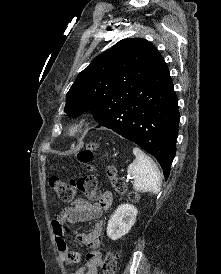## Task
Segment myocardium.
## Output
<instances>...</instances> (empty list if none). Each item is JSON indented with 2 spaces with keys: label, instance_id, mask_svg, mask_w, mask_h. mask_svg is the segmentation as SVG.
I'll return each mask as SVG.
<instances>
[{
  "label": "myocardium",
  "instance_id": "myocardium-1",
  "mask_svg": "<svg viewBox=\"0 0 221 274\" xmlns=\"http://www.w3.org/2000/svg\"><path fill=\"white\" fill-rule=\"evenodd\" d=\"M84 128V123L81 121H76L71 123L66 130V134L68 137L73 138L77 136Z\"/></svg>",
  "mask_w": 221,
  "mask_h": 274
}]
</instances>
